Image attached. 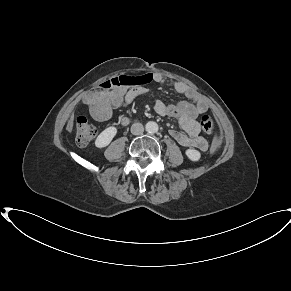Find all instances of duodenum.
Instances as JSON below:
<instances>
[{
    "label": "duodenum",
    "mask_w": 291,
    "mask_h": 291,
    "mask_svg": "<svg viewBox=\"0 0 291 291\" xmlns=\"http://www.w3.org/2000/svg\"><path fill=\"white\" fill-rule=\"evenodd\" d=\"M129 122H130V119L128 117L122 118V124L127 125V124H129Z\"/></svg>",
    "instance_id": "obj_1"
}]
</instances>
